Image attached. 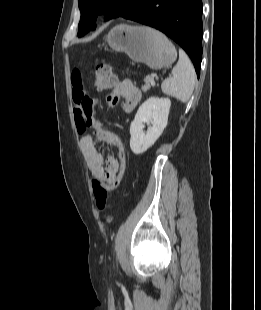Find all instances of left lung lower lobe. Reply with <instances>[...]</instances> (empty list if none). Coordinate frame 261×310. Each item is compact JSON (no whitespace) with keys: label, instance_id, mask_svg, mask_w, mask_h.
I'll list each match as a JSON object with an SVG mask.
<instances>
[{"label":"left lung lower lobe","instance_id":"0a47b994","mask_svg":"<svg viewBox=\"0 0 261 310\" xmlns=\"http://www.w3.org/2000/svg\"><path fill=\"white\" fill-rule=\"evenodd\" d=\"M202 10V0H134L123 18L156 28L172 38L190 56L199 77Z\"/></svg>","mask_w":261,"mask_h":310}]
</instances>
